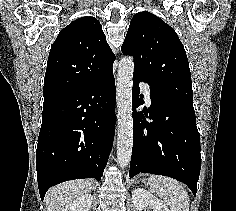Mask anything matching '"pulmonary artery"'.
Returning a JSON list of instances; mask_svg holds the SVG:
<instances>
[{
    "label": "pulmonary artery",
    "instance_id": "pulmonary-artery-1",
    "mask_svg": "<svg viewBox=\"0 0 236 211\" xmlns=\"http://www.w3.org/2000/svg\"><path fill=\"white\" fill-rule=\"evenodd\" d=\"M141 89H142V91L144 93L146 101L148 103H150L151 102V94H150V87H149V85L148 84H143L141 86Z\"/></svg>",
    "mask_w": 236,
    "mask_h": 211
}]
</instances>
